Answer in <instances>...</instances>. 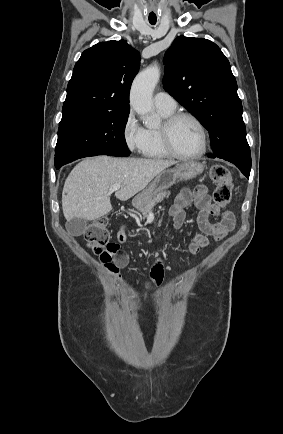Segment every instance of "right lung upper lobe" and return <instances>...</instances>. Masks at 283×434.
I'll use <instances>...</instances> for the list:
<instances>
[{
	"mask_svg": "<svg viewBox=\"0 0 283 434\" xmlns=\"http://www.w3.org/2000/svg\"><path fill=\"white\" fill-rule=\"evenodd\" d=\"M139 65V52L125 40L85 50L68 83L62 117L130 111L128 96Z\"/></svg>",
	"mask_w": 283,
	"mask_h": 434,
	"instance_id": "obj_1",
	"label": "right lung upper lobe"
}]
</instances>
